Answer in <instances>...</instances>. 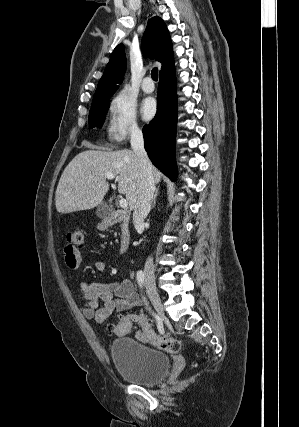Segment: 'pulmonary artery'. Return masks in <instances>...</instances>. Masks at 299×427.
I'll return each instance as SVG.
<instances>
[{
  "mask_svg": "<svg viewBox=\"0 0 299 427\" xmlns=\"http://www.w3.org/2000/svg\"><path fill=\"white\" fill-rule=\"evenodd\" d=\"M142 90L146 93H151L154 91V84L150 77H145L142 82Z\"/></svg>",
  "mask_w": 299,
  "mask_h": 427,
  "instance_id": "obj_1",
  "label": "pulmonary artery"
}]
</instances>
